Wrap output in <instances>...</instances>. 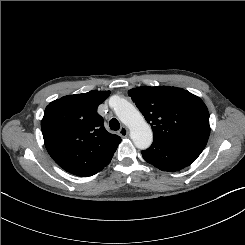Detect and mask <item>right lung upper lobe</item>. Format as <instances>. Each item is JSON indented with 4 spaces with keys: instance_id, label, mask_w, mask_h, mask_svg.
I'll use <instances>...</instances> for the list:
<instances>
[{
    "instance_id": "right-lung-upper-lobe-1",
    "label": "right lung upper lobe",
    "mask_w": 245,
    "mask_h": 245,
    "mask_svg": "<svg viewBox=\"0 0 245 245\" xmlns=\"http://www.w3.org/2000/svg\"><path fill=\"white\" fill-rule=\"evenodd\" d=\"M110 91L64 96L45 109L41 129L45 147L65 171L88 177L108 165L121 138L106 131L97 107Z\"/></svg>"
}]
</instances>
